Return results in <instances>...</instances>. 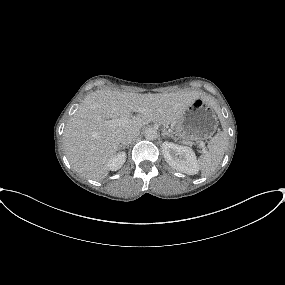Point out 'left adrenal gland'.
Listing matches in <instances>:
<instances>
[{
  "label": "left adrenal gland",
  "mask_w": 285,
  "mask_h": 285,
  "mask_svg": "<svg viewBox=\"0 0 285 285\" xmlns=\"http://www.w3.org/2000/svg\"><path fill=\"white\" fill-rule=\"evenodd\" d=\"M163 136H168V137H170V134H168L167 132H164V133H163Z\"/></svg>",
  "instance_id": "obj_1"
}]
</instances>
